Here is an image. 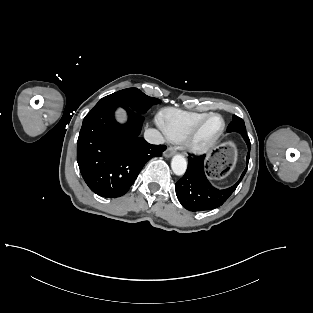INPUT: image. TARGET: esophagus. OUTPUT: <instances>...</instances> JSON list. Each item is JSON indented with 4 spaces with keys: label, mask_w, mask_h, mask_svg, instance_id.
Masks as SVG:
<instances>
[{
    "label": "esophagus",
    "mask_w": 313,
    "mask_h": 313,
    "mask_svg": "<svg viewBox=\"0 0 313 313\" xmlns=\"http://www.w3.org/2000/svg\"><path fill=\"white\" fill-rule=\"evenodd\" d=\"M175 154V149L173 147H168L167 150L164 152V156L169 158Z\"/></svg>",
    "instance_id": "34e87169"
}]
</instances>
